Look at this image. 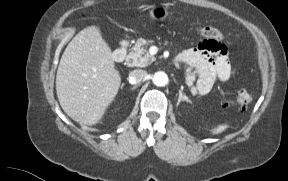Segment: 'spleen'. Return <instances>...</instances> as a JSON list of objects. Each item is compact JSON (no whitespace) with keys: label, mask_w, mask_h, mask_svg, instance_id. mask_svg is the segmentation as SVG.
Segmentation results:
<instances>
[{"label":"spleen","mask_w":288,"mask_h":181,"mask_svg":"<svg viewBox=\"0 0 288 181\" xmlns=\"http://www.w3.org/2000/svg\"><path fill=\"white\" fill-rule=\"evenodd\" d=\"M229 127V124L228 123H223L221 125H218L217 127H214L212 130H211V133L213 135L215 134H220L222 132H224L227 128Z\"/></svg>","instance_id":"3e777b00"}]
</instances>
